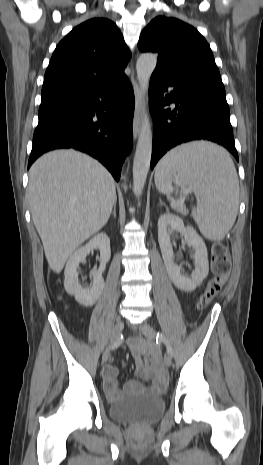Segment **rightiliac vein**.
Wrapping results in <instances>:
<instances>
[{"mask_svg": "<svg viewBox=\"0 0 263 465\" xmlns=\"http://www.w3.org/2000/svg\"><path fill=\"white\" fill-rule=\"evenodd\" d=\"M124 328V323L122 320H118L113 328L111 338H110V345L105 349L103 356H102V362L106 363L109 356H110V347L119 339L121 336V333Z\"/></svg>", "mask_w": 263, "mask_h": 465, "instance_id": "63e3f726", "label": "right iliac vein"}]
</instances>
